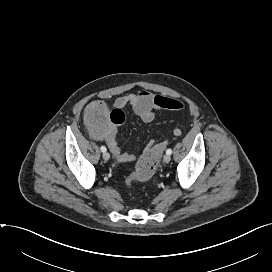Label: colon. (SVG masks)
<instances>
[{
  "label": "colon",
  "mask_w": 272,
  "mask_h": 272,
  "mask_svg": "<svg viewBox=\"0 0 272 272\" xmlns=\"http://www.w3.org/2000/svg\"><path fill=\"white\" fill-rule=\"evenodd\" d=\"M85 120L92 134L100 135L108 129L122 124L124 113L121 109L111 110L103 101L97 100L87 105ZM166 146L167 141H162L142 156L136 165L135 171L127 177L126 184L130 185L133 181L149 180L153 176Z\"/></svg>",
  "instance_id": "colon-1"
}]
</instances>
